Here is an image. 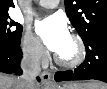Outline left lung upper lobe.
Instances as JSON below:
<instances>
[{"instance_id":"1","label":"left lung upper lobe","mask_w":107,"mask_h":89,"mask_svg":"<svg viewBox=\"0 0 107 89\" xmlns=\"http://www.w3.org/2000/svg\"><path fill=\"white\" fill-rule=\"evenodd\" d=\"M67 16L81 36L88 40L107 30V0H64Z\"/></svg>"}]
</instances>
